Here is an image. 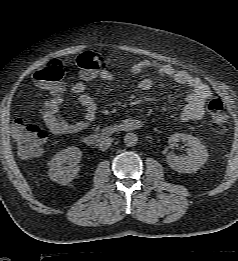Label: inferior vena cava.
Segmentation results:
<instances>
[{
    "instance_id": "602c4592",
    "label": "inferior vena cava",
    "mask_w": 238,
    "mask_h": 261,
    "mask_svg": "<svg viewBox=\"0 0 238 261\" xmlns=\"http://www.w3.org/2000/svg\"><path fill=\"white\" fill-rule=\"evenodd\" d=\"M113 139L112 138H104L100 144H99V148L101 151H105L106 149H108L112 143Z\"/></svg>"
}]
</instances>
